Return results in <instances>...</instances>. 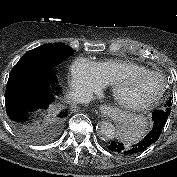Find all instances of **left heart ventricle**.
<instances>
[{
  "label": "left heart ventricle",
  "mask_w": 177,
  "mask_h": 177,
  "mask_svg": "<svg viewBox=\"0 0 177 177\" xmlns=\"http://www.w3.org/2000/svg\"><path fill=\"white\" fill-rule=\"evenodd\" d=\"M161 82L152 76L127 79L120 88V98L126 102L137 103L153 98L158 94Z\"/></svg>",
  "instance_id": "left-heart-ventricle-1"
}]
</instances>
